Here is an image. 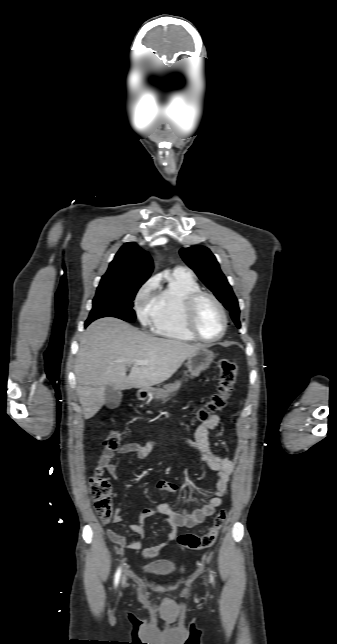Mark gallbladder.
<instances>
[{
  "mask_svg": "<svg viewBox=\"0 0 337 644\" xmlns=\"http://www.w3.org/2000/svg\"><path fill=\"white\" fill-rule=\"evenodd\" d=\"M122 399V393L118 390H114L111 387H107L105 390V405L109 409L117 408Z\"/></svg>",
  "mask_w": 337,
  "mask_h": 644,
  "instance_id": "obj_1",
  "label": "gallbladder"
}]
</instances>
